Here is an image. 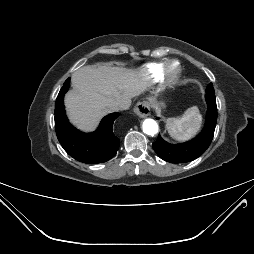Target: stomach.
<instances>
[{"label": "stomach", "instance_id": "1", "mask_svg": "<svg viewBox=\"0 0 254 254\" xmlns=\"http://www.w3.org/2000/svg\"><path fill=\"white\" fill-rule=\"evenodd\" d=\"M151 105L153 108L160 110L161 108L165 107V104L163 102H157V101H152Z\"/></svg>", "mask_w": 254, "mask_h": 254}]
</instances>
